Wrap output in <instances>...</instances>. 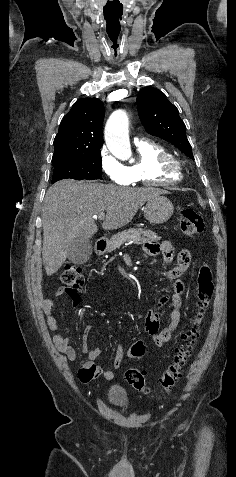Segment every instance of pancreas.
<instances>
[{
    "label": "pancreas",
    "instance_id": "cf45deb5",
    "mask_svg": "<svg viewBox=\"0 0 236 477\" xmlns=\"http://www.w3.org/2000/svg\"><path fill=\"white\" fill-rule=\"evenodd\" d=\"M158 240H160V237H158L156 233L151 230L131 228L114 235L108 242L107 252L115 251L117 248H119L125 243H133L139 245L156 242Z\"/></svg>",
    "mask_w": 236,
    "mask_h": 477
}]
</instances>
